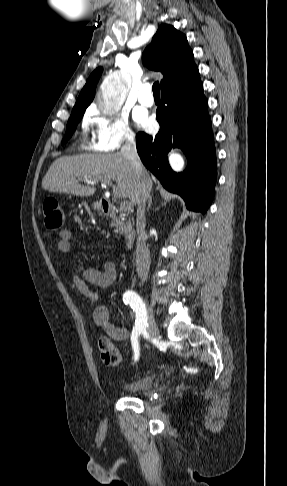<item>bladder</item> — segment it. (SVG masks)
Instances as JSON below:
<instances>
[{"mask_svg":"<svg viewBox=\"0 0 287 486\" xmlns=\"http://www.w3.org/2000/svg\"><path fill=\"white\" fill-rule=\"evenodd\" d=\"M153 382L152 376H142L131 381L120 382L118 387L127 393H141L149 390Z\"/></svg>","mask_w":287,"mask_h":486,"instance_id":"bladder-1","label":"bladder"}]
</instances>
